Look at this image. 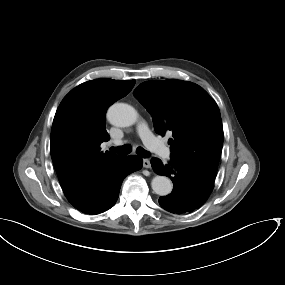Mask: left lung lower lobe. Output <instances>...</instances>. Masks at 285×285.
<instances>
[{"label":"left lung lower lobe","mask_w":285,"mask_h":285,"mask_svg":"<svg viewBox=\"0 0 285 285\" xmlns=\"http://www.w3.org/2000/svg\"><path fill=\"white\" fill-rule=\"evenodd\" d=\"M151 166L156 174L168 176L174 183L171 194L159 199L161 207L171 213L193 212L206 202L213 190L217 171L172 158L166 165L152 158Z\"/></svg>","instance_id":"1"}]
</instances>
